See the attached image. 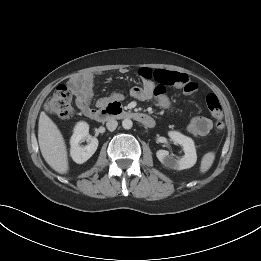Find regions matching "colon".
Returning a JSON list of instances; mask_svg holds the SVG:
<instances>
[{
  "label": "colon",
  "mask_w": 261,
  "mask_h": 261,
  "mask_svg": "<svg viewBox=\"0 0 261 261\" xmlns=\"http://www.w3.org/2000/svg\"><path fill=\"white\" fill-rule=\"evenodd\" d=\"M206 104L210 114L215 119L216 128L222 129L224 127L223 111L218 97L213 93L208 94ZM45 110L59 119H69L73 114L69 88L65 85L58 86L51 98L46 102Z\"/></svg>",
  "instance_id": "obj_1"
}]
</instances>
